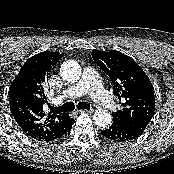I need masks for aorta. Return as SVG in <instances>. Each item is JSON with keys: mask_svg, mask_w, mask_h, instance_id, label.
Returning <instances> with one entry per match:
<instances>
[{"mask_svg": "<svg viewBox=\"0 0 174 174\" xmlns=\"http://www.w3.org/2000/svg\"><path fill=\"white\" fill-rule=\"evenodd\" d=\"M60 75L66 81L76 82L81 76V66L76 61L67 60L60 67ZM93 120L98 127L107 128L112 117L108 110L99 108L94 112Z\"/></svg>", "mask_w": 174, "mask_h": 174, "instance_id": "obj_1", "label": "aorta"}]
</instances>
